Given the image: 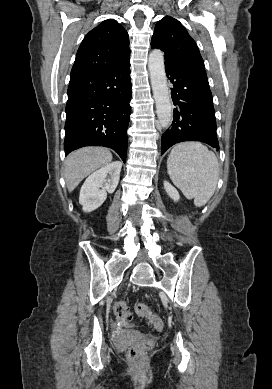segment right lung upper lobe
<instances>
[{
	"label": "right lung upper lobe",
	"mask_w": 272,
	"mask_h": 389,
	"mask_svg": "<svg viewBox=\"0 0 272 389\" xmlns=\"http://www.w3.org/2000/svg\"><path fill=\"white\" fill-rule=\"evenodd\" d=\"M127 31L114 19H107L83 39L71 70V77L93 74L129 59Z\"/></svg>",
	"instance_id": "obj_1"
}]
</instances>
